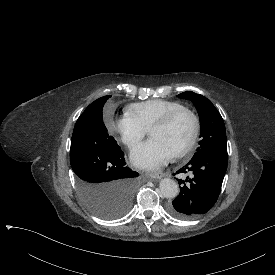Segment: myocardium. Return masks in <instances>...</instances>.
Here are the masks:
<instances>
[{"instance_id": "f54148a6", "label": "myocardium", "mask_w": 275, "mask_h": 275, "mask_svg": "<svg viewBox=\"0 0 275 275\" xmlns=\"http://www.w3.org/2000/svg\"><path fill=\"white\" fill-rule=\"evenodd\" d=\"M182 115L189 116V118L191 120V124H192V129H191V134H190V137H189L187 143L174 153V157H176V158H180V157L187 155L194 148V146L197 142V139L199 136V131H200L199 119H198L197 115L192 110H190L188 108L178 109V110L172 111L169 114H167L161 120L156 122L153 125V127L151 128V129H153V128H169L174 123V121Z\"/></svg>"}]
</instances>
